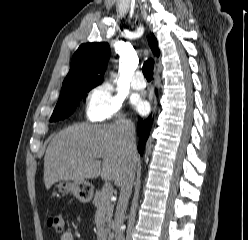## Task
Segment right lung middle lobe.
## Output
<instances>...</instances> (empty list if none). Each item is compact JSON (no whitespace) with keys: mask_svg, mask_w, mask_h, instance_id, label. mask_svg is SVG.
I'll return each instance as SVG.
<instances>
[{"mask_svg":"<svg viewBox=\"0 0 248 240\" xmlns=\"http://www.w3.org/2000/svg\"><path fill=\"white\" fill-rule=\"evenodd\" d=\"M91 88L71 87L61 90L59 100L50 118V122L59 121L70 116L79 101Z\"/></svg>","mask_w":248,"mask_h":240,"instance_id":"right-lung-middle-lobe-1","label":"right lung middle lobe"}]
</instances>
